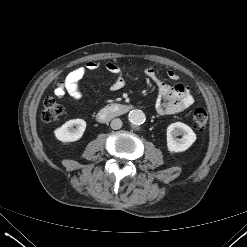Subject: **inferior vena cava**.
Instances as JSON below:
<instances>
[{
  "instance_id": "1",
  "label": "inferior vena cava",
  "mask_w": 247,
  "mask_h": 247,
  "mask_svg": "<svg viewBox=\"0 0 247 247\" xmlns=\"http://www.w3.org/2000/svg\"><path fill=\"white\" fill-rule=\"evenodd\" d=\"M110 126L114 130L120 129L122 127V121L119 118H115L111 121Z\"/></svg>"
}]
</instances>
